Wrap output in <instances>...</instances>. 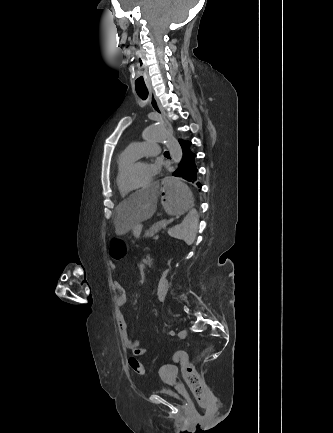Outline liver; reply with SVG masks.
<instances>
[{"instance_id": "liver-1", "label": "liver", "mask_w": 333, "mask_h": 433, "mask_svg": "<svg viewBox=\"0 0 333 433\" xmlns=\"http://www.w3.org/2000/svg\"><path fill=\"white\" fill-rule=\"evenodd\" d=\"M159 191V183H148L147 189L132 192L130 199L120 202L116 207L115 233L124 235L135 227L140 228L141 222L151 218L156 212Z\"/></svg>"}]
</instances>
